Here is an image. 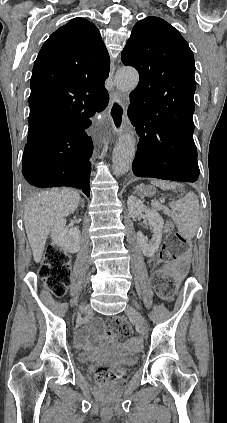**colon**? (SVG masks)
Here are the masks:
<instances>
[{"mask_svg":"<svg viewBox=\"0 0 227 423\" xmlns=\"http://www.w3.org/2000/svg\"><path fill=\"white\" fill-rule=\"evenodd\" d=\"M186 250V242L177 232H170L159 254L160 263H169L179 259ZM40 276L45 281L46 287L55 295L62 296L71 281L70 257L58 246L47 249L44 261L39 270ZM152 285L156 293L167 298L173 290V281L162 269H155L151 276ZM132 330L129 324L121 318H114L109 323V336L121 339L130 337ZM114 377V372L109 368L97 369L94 378L105 384Z\"/></svg>","mask_w":227,"mask_h":423,"instance_id":"colon-1","label":"colon"}]
</instances>
